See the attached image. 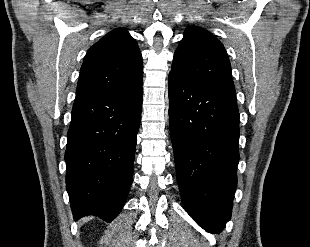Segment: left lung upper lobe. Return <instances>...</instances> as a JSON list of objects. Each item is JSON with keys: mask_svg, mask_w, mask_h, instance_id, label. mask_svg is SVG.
I'll list each match as a JSON object with an SVG mask.
<instances>
[{"mask_svg": "<svg viewBox=\"0 0 310 247\" xmlns=\"http://www.w3.org/2000/svg\"><path fill=\"white\" fill-rule=\"evenodd\" d=\"M171 72L235 93L231 66L222 43L209 31L189 26L174 53Z\"/></svg>", "mask_w": 310, "mask_h": 247, "instance_id": "1", "label": "left lung upper lobe"}]
</instances>
